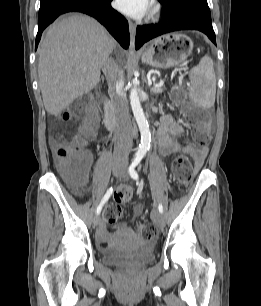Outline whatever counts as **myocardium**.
I'll return each mask as SVG.
<instances>
[{"label":"myocardium","mask_w":261,"mask_h":306,"mask_svg":"<svg viewBox=\"0 0 261 306\" xmlns=\"http://www.w3.org/2000/svg\"><path fill=\"white\" fill-rule=\"evenodd\" d=\"M160 14V7L158 5L154 6L152 10V16L157 17Z\"/></svg>","instance_id":"myocardium-1"}]
</instances>
